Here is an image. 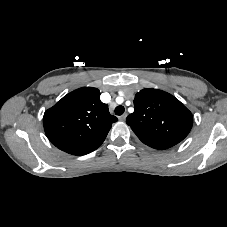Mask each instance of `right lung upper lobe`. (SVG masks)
Masks as SVG:
<instances>
[{
    "label": "right lung upper lobe",
    "mask_w": 227,
    "mask_h": 227,
    "mask_svg": "<svg viewBox=\"0 0 227 227\" xmlns=\"http://www.w3.org/2000/svg\"><path fill=\"white\" fill-rule=\"evenodd\" d=\"M117 120L109 113L108 105L101 102L97 88L83 87L46 110L43 125L52 144L81 156L96 150Z\"/></svg>",
    "instance_id": "1"
}]
</instances>
